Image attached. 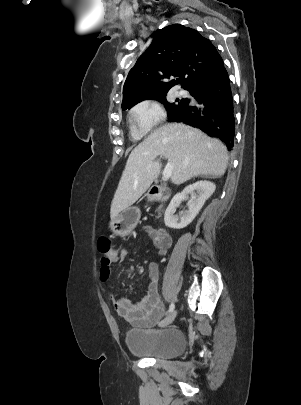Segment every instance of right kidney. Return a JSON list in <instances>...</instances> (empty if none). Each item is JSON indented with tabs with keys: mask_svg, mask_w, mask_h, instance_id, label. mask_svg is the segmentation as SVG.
Returning <instances> with one entry per match:
<instances>
[{
	"mask_svg": "<svg viewBox=\"0 0 301 405\" xmlns=\"http://www.w3.org/2000/svg\"><path fill=\"white\" fill-rule=\"evenodd\" d=\"M216 186L214 183L206 180L198 181L187 186L181 193H177L171 200L164 215V222L167 227L174 229H182L189 225L200 209L203 207L206 200L214 193ZM195 191L197 194H195ZM191 194L192 198L188 203V210L182 213L181 217L174 214L180 203Z\"/></svg>",
	"mask_w": 301,
	"mask_h": 405,
	"instance_id": "1",
	"label": "right kidney"
}]
</instances>
